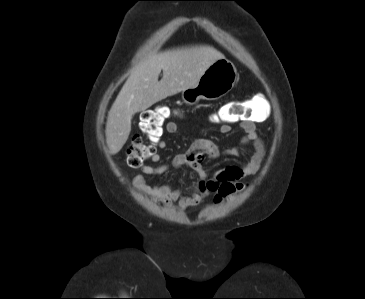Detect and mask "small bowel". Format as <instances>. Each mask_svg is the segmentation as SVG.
<instances>
[{
  "label": "small bowel",
  "mask_w": 365,
  "mask_h": 299,
  "mask_svg": "<svg viewBox=\"0 0 365 299\" xmlns=\"http://www.w3.org/2000/svg\"><path fill=\"white\" fill-rule=\"evenodd\" d=\"M259 120L260 118L256 116L251 120L241 121L240 127L243 130L244 135L237 146L222 151L212 141L208 139H199L191 146L188 151L177 154L172 160V166L175 168L189 167L194 170L200 178L198 190L204 187L209 181L215 184L228 181L237 183L244 177L256 174L261 167V163L265 155L263 142L256 131V122ZM165 130L168 134L174 135L178 133L179 127L177 123L169 121L165 125ZM230 130V125H220V131L222 133H228ZM249 143H253L254 153L248 162L240 166L226 167L217 171L211 177H208L207 171L205 169V161L207 159H216L222 155L238 156L244 151L245 147ZM155 145L159 149H165L167 147V143L160 138L155 142ZM160 159L161 158L157 153L153 154L151 158L152 162L155 163H158ZM168 169L169 166L167 164L145 165L142 167V172L147 175H160L165 173ZM139 186L147 194L156 197L160 202L168 206H171L173 203L177 202V208L179 210L194 205L200 200L203 194L208 191L205 189L200 194L195 192L192 196L186 197L182 196L179 190L168 184H158L154 187H150L143 182H139Z\"/></svg>",
  "instance_id": "obj_1"
}]
</instances>
